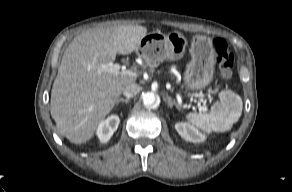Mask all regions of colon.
<instances>
[{"label": "colon", "instance_id": "5ec220e1", "mask_svg": "<svg viewBox=\"0 0 292 192\" xmlns=\"http://www.w3.org/2000/svg\"><path fill=\"white\" fill-rule=\"evenodd\" d=\"M213 49L216 55L217 66L225 80H229L232 75V67L234 64V55L229 50L226 42L222 39L213 41Z\"/></svg>", "mask_w": 292, "mask_h": 192}]
</instances>
